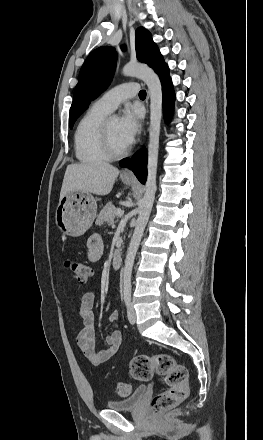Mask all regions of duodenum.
<instances>
[{
	"mask_svg": "<svg viewBox=\"0 0 263 440\" xmlns=\"http://www.w3.org/2000/svg\"><path fill=\"white\" fill-rule=\"evenodd\" d=\"M122 253L121 252H115L113 257H112V268L114 270H119L121 268L122 265Z\"/></svg>",
	"mask_w": 263,
	"mask_h": 440,
	"instance_id": "obj_1",
	"label": "duodenum"
}]
</instances>
